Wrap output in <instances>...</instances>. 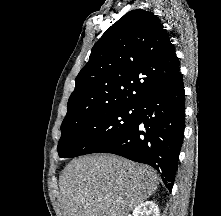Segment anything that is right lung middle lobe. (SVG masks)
<instances>
[{
    "label": "right lung middle lobe",
    "instance_id": "obj_1",
    "mask_svg": "<svg viewBox=\"0 0 221 216\" xmlns=\"http://www.w3.org/2000/svg\"><path fill=\"white\" fill-rule=\"evenodd\" d=\"M136 117L137 106H115L90 113L74 123H62L59 157L100 152L128 130Z\"/></svg>",
    "mask_w": 221,
    "mask_h": 216
}]
</instances>
